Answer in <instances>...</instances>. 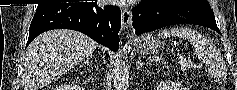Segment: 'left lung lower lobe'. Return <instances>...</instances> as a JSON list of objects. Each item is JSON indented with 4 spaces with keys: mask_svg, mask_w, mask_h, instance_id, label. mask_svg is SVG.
<instances>
[{
    "mask_svg": "<svg viewBox=\"0 0 237 90\" xmlns=\"http://www.w3.org/2000/svg\"><path fill=\"white\" fill-rule=\"evenodd\" d=\"M136 35L173 24H195L220 33L209 7H196L175 0H146L132 9Z\"/></svg>",
    "mask_w": 237,
    "mask_h": 90,
    "instance_id": "obj_1",
    "label": "left lung lower lobe"
}]
</instances>
